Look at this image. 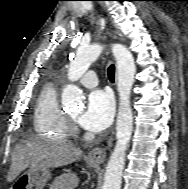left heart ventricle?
Listing matches in <instances>:
<instances>
[{"label": "left heart ventricle", "instance_id": "b2bd125f", "mask_svg": "<svg viewBox=\"0 0 188 189\" xmlns=\"http://www.w3.org/2000/svg\"><path fill=\"white\" fill-rule=\"evenodd\" d=\"M69 116H71L72 118H76L78 116V113L74 112V113L69 114Z\"/></svg>", "mask_w": 188, "mask_h": 189}]
</instances>
